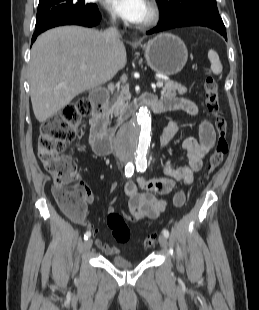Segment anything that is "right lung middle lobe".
<instances>
[{"instance_id":"obj_1","label":"right lung middle lobe","mask_w":259,"mask_h":310,"mask_svg":"<svg viewBox=\"0 0 259 310\" xmlns=\"http://www.w3.org/2000/svg\"><path fill=\"white\" fill-rule=\"evenodd\" d=\"M97 9L85 0H39L36 26L39 27L55 17H81Z\"/></svg>"}]
</instances>
